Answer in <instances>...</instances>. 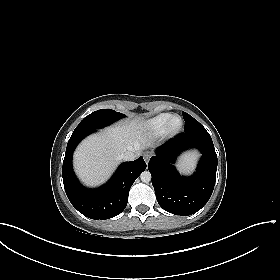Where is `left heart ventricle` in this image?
I'll return each mask as SVG.
<instances>
[{
	"label": "left heart ventricle",
	"mask_w": 280,
	"mask_h": 280,
	"mask_svg": "<svg viewBox=\"0 0 280 280\" xmlns=\"http://www.w3.org/2000/svg\"><path fill=\"white\" fill-rule=\"evenodd\" d=\"M173 128H177L180 125V120L178 118L173 119L172 123H171Z\"/></svg>",
	"instance_id": "b2bd125f"
}]
</instances>
